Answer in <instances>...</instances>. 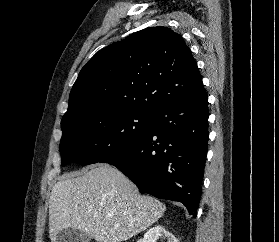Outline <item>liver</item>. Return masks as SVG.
Listing matches in <instances>:
<instances>
[{
  "mask_svg": "<svg viewBox=\"0 0 279 242\" xmlns=\"http://www.w3.org/2000/svg\"><path fill=\"white\" fill-rule=\"evenodd\" d=\"M159 200L140 195L136 185L118 169L98 164L88 171L65 174L49 199V237L77 229L98 242L130 239L165 212Z\"/></svg>",
  "mask_w": 279,
  "mask_h": 242,
  "instance_id": "6515ba94",
  "label": "liver"
}]
</instances>
